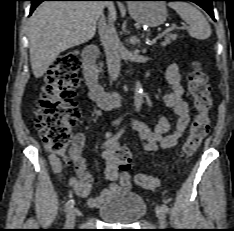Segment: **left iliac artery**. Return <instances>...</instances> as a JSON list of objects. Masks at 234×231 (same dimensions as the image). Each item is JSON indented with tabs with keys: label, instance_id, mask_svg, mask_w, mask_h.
I'll return each instance as SVG.
<instances>
[{
	"label": "left iliac artery",
	"instance_id": "left-iliac-artery-1",
	"mask_svg": "<svg viewBox=\"0 0 234 231\" xmlns=\"http://www.w3.org/2000/svg\"><path fill=\"white\" fill-rule=\"evenodd\" d=\"M161 208L164 210V212H168V211H169L168 206L165 205V204H162V205H161Z\"/></svg>",
	"mask_w": 234,
	"mask_h": 231
}]
</instances>
